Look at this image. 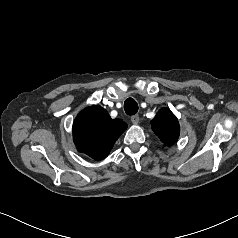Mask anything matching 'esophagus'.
<instances>
[{
  "label": "esophagus",
  "mask_w": 238,
  "mask_h": 238,
  "mask_svg": "<svg viewBox=\"0 0 238 238\" xmlns=\"http://www.w3.org/2000/svg\"><path fill=\"white\" fill-rule=\"evenodd\" d=\"M140 121V118H139V115H134L131 117V122L134 124V125H137Z\"/></svg>",
  "instance_id": "esophagus-1"
}]
</instances>
